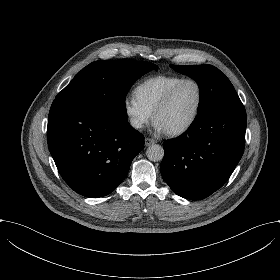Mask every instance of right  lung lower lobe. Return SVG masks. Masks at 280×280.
I'll return each mask as SVG.
<instances>
[{
	"label": "right lung lower lobe",
	"mask_w": 280,
	"mask_h": 280,
	"mask_svg": "<svg viewBox=\"0 0 280 280\" xmlns=\"http://www.w3.org/2000/svg\"><path fill=\"white\" fill-rule=\"evenodd\" d=\"M47 140L64 181L92 198L114 191L144 147L143 135L127 119L65 101L50 108Z\"/></svg>",
	"instance_id": "1"
}]
</instances>
